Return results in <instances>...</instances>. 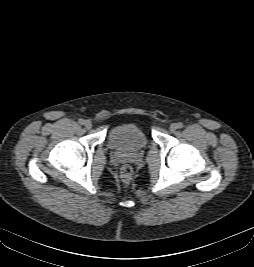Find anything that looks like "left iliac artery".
Returning <instances> with one entry per match:
<instances>
[{
  "mask_svg": "<svg viewBox=\"0 0 254 267\" xmlns=\"http://www.w3.org/2000/svg\"><path fill=\"white\" fill-rule=\"evenodd\" d=\"M183 123H181V122H179V123H177V127L180 129V128H183Z\"/></svg>",
  "mask_w": 254,
  "mask_h": 267,
  "instance_id": "obj_1",
  "label": "left iliac artery"
}]
</instances>
